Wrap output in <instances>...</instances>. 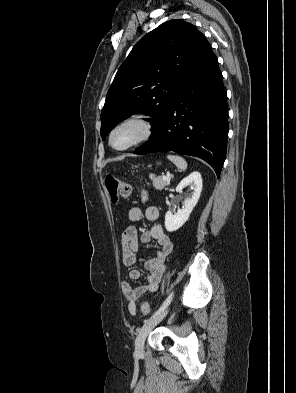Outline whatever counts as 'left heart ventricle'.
I'll return each instance as SVG.
<instances>
[{
    "mask_svg": "<svg viewBox=\"0 0 296 393\" xmlns=\"http://www.w3.org/2000/svg\"><path fill=\"white\" fill-rule=\"evenodd\" d=\"M140 131L141 129L138 125H125L114 132L112 144L117 148L124 147L132 142L140 134Z\"/></svg>",
    "mask_w": 296,
    "mask_h": 393,
    "instance_id": "obj_1",
    "label": "left heart ventricle"
}]
</instances>
